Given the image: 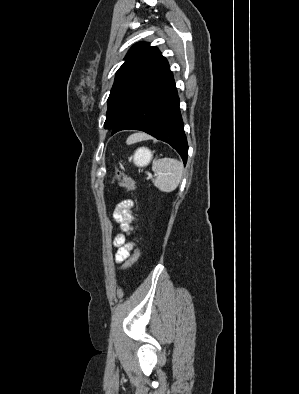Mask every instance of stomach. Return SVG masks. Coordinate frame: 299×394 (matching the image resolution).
Instances as JSON below:
<instances>
[{
    "label": "stomach",
    "mask_w": 299,
    "mask_h": 394,
    "mask_svg": "<svg viewBox=\"0 0 299 394\" xmlns=\"http://www.w3.org/2000/svg\"><path fill=\"white\" fill-rule=\"evenodd\" d=\"M151 158V151L145 147H142L135 152L133 161L137 166H144L150 162Z\"/></svg>",
    "instance_id": "stomach-1"
}]
</instances>
